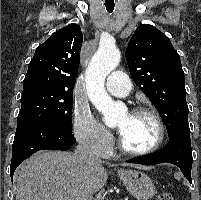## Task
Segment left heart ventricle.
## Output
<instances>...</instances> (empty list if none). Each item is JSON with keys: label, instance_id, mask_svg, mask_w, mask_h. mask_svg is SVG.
Wrapping results in <instances>:
<instances>
[{"label": "left heart ventricle", "instance_id": "left-heart-ventricle-1", "mask_svg": "<svg viewBox=\"0 0 201 200\" xmlns=\"http://www.w3.org/2000/svg\"><path fill=\"white\" fill-rule=\"evenodd\" d=\"M125 144L134 150L151 147L158 139L155 121L147 115L122 114L115 123Z\"/></svg>", "mask_w": 201, "mask_h": 200}]
</instances>
